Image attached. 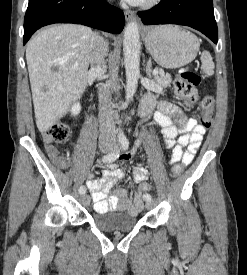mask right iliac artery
I'll list each match as a JSON object with an SVG mask.
<instances>
[{
	"label": "right iliac artery",
	"mask_w": 247,
	"mask_h": 275,
	"mask_svg": "<svg viewBox=\"0 0 247 275\" xmlns=\"http://www.w3.org/2000/svg\"><path fill=\"white\" fill-rule=\"evenodd\" d=\"M119 152H120L119 149H117L116 151L103 156L102 161L106 162V163H111V162L115 161L119 157ZM85 192H86L85 186H83V185L80 186L79 193L84 194Z\"/></svg>",
	"instance_id": "82829eb1"
}]
</instances>
